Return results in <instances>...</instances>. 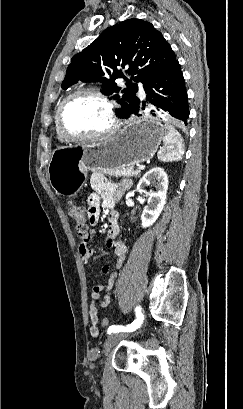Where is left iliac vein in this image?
Returning <instances> with one entry per match:
<instances>
[{"label": "left iliac vein", "instance_id": "1", "mask_svg": "<svg viewBox=\"0 0 243 409\" xmlns=\"http://www.w3.org/2000/svg\"><path fill=\"white\" fill-rule=\"evenodd\" d=\"M126 335L121 333L111 334L104 343V353L107 354L114 346H116Z\"/></svg>", "mask_w": 243, "mask_h": 409}]
</instances>
